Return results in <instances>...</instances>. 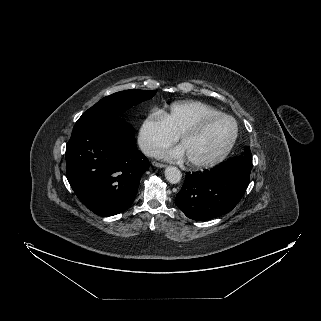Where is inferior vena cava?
<instances>
[{
  "instance_id": "inferior-vena-cava-1",
  "label": "inferior vena cava",
  "mask_w": 321,
  "mask_h": 321,
  "mask_svg": "<svg viewBox=\"0 0 321 321\" xmlns=\"http://www.w3.org/2000/svg\"><path fill=\"white\" fill-rule=\"evenodd\" d=\"M141 149L144 152V154H146L147 156H157L159 154V150L150 144H143L141 145Z\"/></svg>"
}]
</instances>
